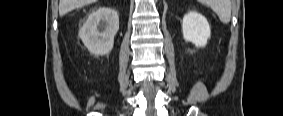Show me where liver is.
Listing matches in <instances>:
<instances>
[{
  "label": "liver",
  "mask_w": 283,
  "mask_h": 116,
  "mask_svg": "<svg viewBox=\"0 0 283 116\" xmlns=\"http://www.w3.org/2000/svg\"><path fill=\"white\" fill-rule=\"evenodd\" d=\"M93 2H95V0H60L59 15L64 16L65 14L73 11L74 9L83 7Z\"/></svg>",
  "instance_id": "1"
}]
</instances>
